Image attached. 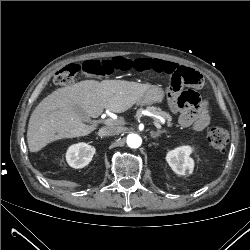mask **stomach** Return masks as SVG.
<instances>
[{
    "label": "stomach",
    "instance_id": "1",
    "mask_svg": "<svg viewBox=\"0 0 250 250\" xmlns=\"http://www.w3.org/2000/svg\"><path fill=\"white\" fill-rule=\"evenodd\" d=\"M164 91L160 87L153 86L148 89L145 94L138 100V105H149L153 103H161L164 99Z\"/></svg>",
    "mask_w": 250,
    "mask_h": 250
}]
</instances>
